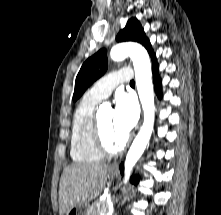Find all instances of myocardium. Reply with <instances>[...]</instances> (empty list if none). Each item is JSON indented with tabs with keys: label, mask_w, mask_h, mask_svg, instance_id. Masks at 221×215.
Segmentation results:
<instances>
[{
	"label": "myocardium",
	"mask_w": 221,
	"mask_h": 215,
	"mask_svg": "<svg viewBox=\"0 0 221 215\" xmlns=\"http://www.w3.org/2000/svg\"><path fill=\"white\" fill-rule=\"evenodd\" d=\"M92 137L93 142L97 150L102 154L106 156H114L117 154H120L124 151L128 144V138H125L121 144L115 148L110 147L103 135V131L100 124V118L99 115H95L94 121H93V129H92Z\"/></svg>",
	"instance_id": "f54148a6"
}]
</instances>
